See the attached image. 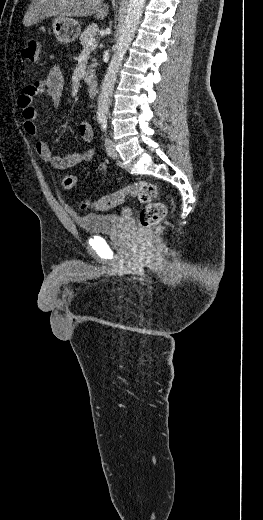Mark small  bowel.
I'll return each mask as SVG.
<instances>
[{
  "label": "small bowel",
  "instance_id": "1",
  "mask_svg": "<svg viewBox=\"0 0 263 520\" xmlns=\"http://www.w3.org/2000/svg\"><path fill=\"white\" fill-rule=\"evenodd\" d=\"M63 89L64 77L58 66H54L45 79L24 87L18 97V105L22 110L24 131L28 135H37L38 114L33 105L34 98L38 95H48L52 101L56 102L61 98ZM78 131L84 142L92 141L93 128L89 122H81ZM35 149L42 160L57 169L72 168L80 163L90 162L95 157V151L92 148L66 156L53 155L47 143L40 139L35 141Z\"/></svg>",
  "mask_w": 263,
  "mask_h": 520
}]
</instances>
